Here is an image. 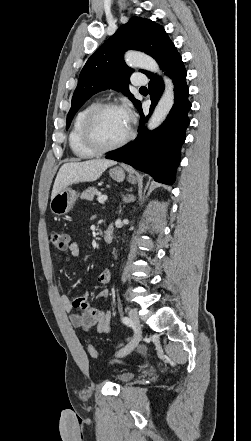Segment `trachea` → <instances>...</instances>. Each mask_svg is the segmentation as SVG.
<instances>
[{"mask_svg":"<svg viewBox=\"0 0 251 441\" xmlns=\"http://www.w3.org/2000/svg\"><path fill=\"white\" fill-rule=\"evenodd\" d=\"M140 89H146V87H141Z\"/></svg>","mask_w":251,"mask_h":441,"instance_id":"1","label":"trachea"}]
</instances>
